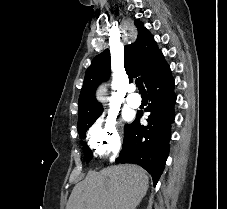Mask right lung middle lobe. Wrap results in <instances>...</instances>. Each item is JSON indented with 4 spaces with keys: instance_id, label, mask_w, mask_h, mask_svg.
I'll return each mask as SVG.
<instances>
[{
    "instance_id": "obj_1",
    "label": "right lung middle lobe",
    "mask_w": 227,
    "mask_h": 209,
    "mask_svg": "<svg viewBox=\"0 0 227 209\" xmlns=\"http://www.w3.org/2000/svg\"><path fill=\"white\" fill-rule=\"evenodd\" d=\"M99 116L100 114H97L94 116H83L78 118V133L81 138L86 137L85 135L86 131ZM83 150H84L86 161L87 162L90 161L92 158V151L89 149L86 143L83 144Z\"/></svg>"
}]
</instances>
